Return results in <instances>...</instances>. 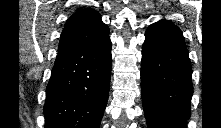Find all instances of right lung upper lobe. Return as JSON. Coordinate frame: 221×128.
Here are the masks:
<instances>
[{
	"label": "right lung upper lobe",
	"mask_w": 221,
	"mask_h": 128,
	"mask_svg": "<svg viewBox=\"0 0 221 128\" xmlns=\"http://www.w3.org/2000/svg\"><path fill=\"white\" fill-rule=\"evenodd\" d=\"M108 35L109 28L102 22L98 12L81 9L67 20L58 49L94 45Z\"/></svg>",
	"instance_id": "right-lung-upper-lobe-1"
}]
</instances>
